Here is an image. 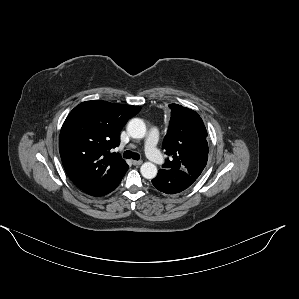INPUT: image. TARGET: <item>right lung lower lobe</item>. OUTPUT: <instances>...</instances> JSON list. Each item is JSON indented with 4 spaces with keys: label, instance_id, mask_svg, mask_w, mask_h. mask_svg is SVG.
<instances>
[{
    "label": "right lung lower lobe",
    "instance_id": "obj_1",
    "mask_svg": "<svg viewBox=\"0 0 299 299\" xmlns=\"http://www.w3.org/2000/svg\"><path fill=\"white\" fill-rule=\"evenodd\" d=\"M127 170H128V168H127ZM127 170H126V171H127ZM126 171L124 172L123 176L125 175ZM123 176L121 177V179L123 178ZM121 179L119 180V182L117 183V185L115 186V188L118 186V184L120 183ZM115 188H114V189H115ZM114 189H113V190H114ZM113 190H112V191H113Z\"/></svg>",
    "mask_w": 299,
    "mask_h": 299
}]
</instances>
